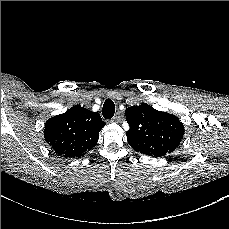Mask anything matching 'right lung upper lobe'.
Listing matches in <instances>:
<instances>
[{"mask_svg": "<svg viewBox=\"0 0 229 229\" xmlns=\"http://www.w3.org/2000/svg\"><path fill=\"white\" fill-rule=\"evenodd\" d=\"M104 125L98 112L75 105L46 121L44 138L58 155L79 157L96 145Z\"/></svg>", "mask_w": 229, "mask_h": 229, "instance_id": "right-lung-upper-lobe-1", "label": "right lung upper lobe"}]
</instances>
